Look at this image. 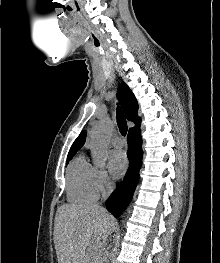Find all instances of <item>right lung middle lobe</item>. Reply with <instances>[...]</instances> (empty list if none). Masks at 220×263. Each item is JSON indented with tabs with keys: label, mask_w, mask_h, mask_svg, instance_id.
<instances>
[{
	"label": "right lung middle lobe",
	"mask_w": 220,
	"mask_h": 263,
	"mask_svg": "<svg viewBox=\"0 0 220 263\" xmlns=\"http://www.w3.org/2000/svg\"><path fill=\"white\" fill-rule=\"evenodd\" d=\"M74 155L68 156L67 159L71 160Z\"/></svg>",
	"instance_id": "dd1d6c3e"
}]
</instances>
